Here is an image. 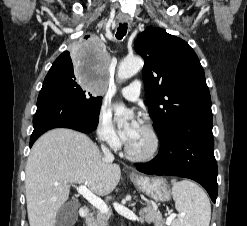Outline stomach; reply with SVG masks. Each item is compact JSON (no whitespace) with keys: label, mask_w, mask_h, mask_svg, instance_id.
Masks as SVG:
<instances>
[{"label":"stomach","mask_w":247,"mask_h":226,"mask_svg":"<svg viewBox=\"0 0 247 226\" xmlns=\"http://www.w3.org/2000/svg\"><path fill=\"white\" fill-rule=\"evenodd\" d=\"M134 185L143 193L154 199L155 201H168L171 197V191L163 178L130 176Z\"/></svg>","instance_id":"1"}]
</instances>
